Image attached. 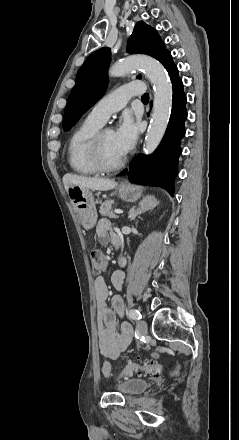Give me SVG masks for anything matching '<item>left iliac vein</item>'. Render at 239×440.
I'll return each mask as SVG.
<instances>
[{"instance_id": "obj_1", "label": "left iliac vein", "mask_w": 239, "mask_h": 440, "mask_svg": "<svg viewBox=\"0 0 239 440\" xmlns=\"http://www.w3.org/2000/svg\"><path fill=\"white\" fill-rule=\"evenodd\" d=\"M148 331V326L146 321L144 320H140L139 321V332L141 335H146Z\"/></svg>"}]
</instances>
